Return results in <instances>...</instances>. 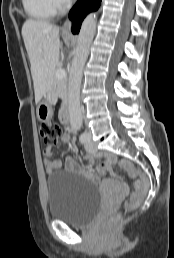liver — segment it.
<instances>
[{
    "label": "liver",
    "instance_id": "liver-1",
    "mask_svg": "<svg viewBox=\"0 0 174 258\" xmlns=\"http://www.w3.org/2000/svg\"><path fill=\"white\" fill-rule=\"evenodd\" d=\"M22 36L31 64L35 102L51 89L60 56L59 28L44 21L26 20Z\"/></svg>",
    "mask_w": 174,
    "mask_h": 258
}]
</instances>
